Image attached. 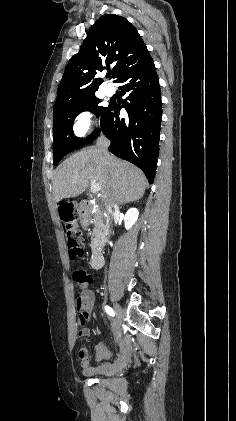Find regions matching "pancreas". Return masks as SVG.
<instances>
[{
    "mask_svg": "<svg viewBox=\"0 0 236 421\" xmlns=\"http://www.w3.org/2000/svg\"><path fill=\"white\" fill-rule=\"evenodd\" d=\"M93 208H95L93 204L92 206H90V208H88L90 217H93L92 221H93V227H94V229H92L93 233H92L90 247L92 249V253H96L98 249L96 245H98V243H101V241H103L105 235H107L108 233L109 227L106 223L104 211H100V208H96V211L92 213Z\"/></svg>",
    "mask_w": 236,
    "mask_h": 421,
    "instance_id": "cf45deb5",
    "label": "pancreas"
}]
</instances>
